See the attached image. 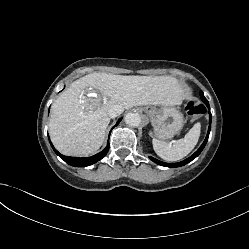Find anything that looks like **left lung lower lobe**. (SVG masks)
I'll list each match as a JSON object with an SVG mask.
<instances>
[{
  "label": "left lung lower lobe",
  "instance_id": "0a47b994",
  "mask_svg": "<svg viewBox=\"0 0 249 249\" xmlns=\"http://www.w3.org/2000/svg\"><path fill=\"white\" fill-rule=\"evenodd\" d=\"M200 96H201L202 101L205 103V105L210 109L209 103H208L207 99L204 97V95L201 94ZM210 130H211V113H209V128H208L207 136H206L203 144L200 146V148L193 155H191L189 158H187V159H185V160H183L181 162H178V163H165V162L159 161V160H157V159H155L153 157H149V159H151L156 164L161 165V166H165V167H181V166H184L187 163L191 162L193 159H195L201 153V151L204 149V147H205V145H206V143L208 141Z\"/></svg>",
  "mask_w": 249,
  "mask_h": 249
}]
</instances>
